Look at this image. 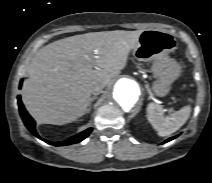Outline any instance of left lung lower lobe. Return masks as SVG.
Returning <instances> with one entry per match:
<instances>
[{
	"label": "left lung lower lobe",
	"mask_w": 212,
	"mask_h": 183,
	"mask_svg": "<svg viewBox=\"0 0 212 183\" xmlns=\"http://www.w3.org/2000/svg\"><path fill=\"white\" fill-rule=\"evenodd\" d=\"M174 138H176V136H175V137H171V138L167 139V140L165 141V143H166V142H168V141H170V140H172V139H174Z\"/></svg>",
	"instance_id": "left-lung-lower-lobe-1"
}]
</instances>
